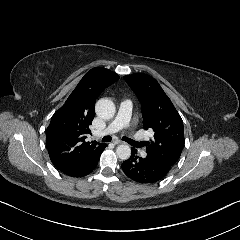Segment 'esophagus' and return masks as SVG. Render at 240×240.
<instances>
[{
	"mask_svg": "<svg viewBox=\"0 0 240 240\" xmlns=\"http://www.w3.org/2000/svg\"><path fill=\"white\" fill-rule=\"evenodd\" d=\"M121 143H123V141H121V140H115L114 141V144H121Z\"/></svg>",
	"mask_w": 240,
	"mask_h": 240,
	"instance_id": "esophagus-1",
	"label": "esophagus"
}]
</instances>
